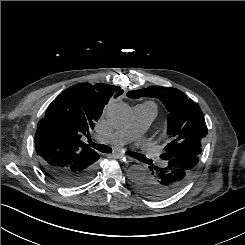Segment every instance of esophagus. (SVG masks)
<instances>
[{
	"label": "esophagus",
	"instance_id": "obj_1",
	"mask_svg": "<svg viewBox=\"0 0 245 245\" xmlns=\"http://www.w3.org/2000/svg\"><path fill=\"white\" fill-rule=\"evenodd\" d=\"M114 157L123 160L124 163L128 164L130 162H132V159L124 154L121 153H115L113 154Z\"/></svg>",
	"mask_w": 245,
	"mask_h": 245
}]
</instances>
